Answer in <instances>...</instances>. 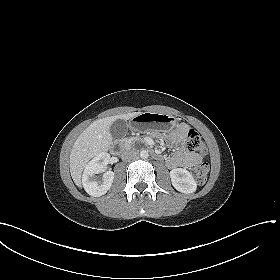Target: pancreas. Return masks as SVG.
Returning <instances> with one entry per match:
<instances>
[{
    "mask_svg": "<svg viewBox=\"0 0 280 280\" xmlns=\"http://www.w3.org/2000/svg\"><path fill=\"white\" fill-rule=\"evenodd\" d=\"M132 140H133L132 138H129V139H128V141H132Z\"/></svg>",
    "mask_w": 280,
    "mask_h": 280,
    "instance_id": "cf45deb5",
    "label": "pancreas"
}]
</instances>
